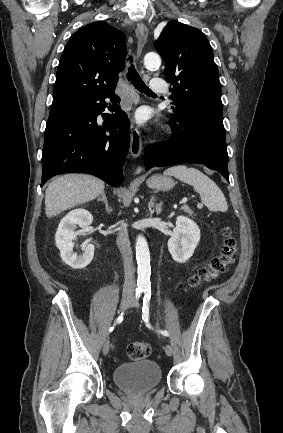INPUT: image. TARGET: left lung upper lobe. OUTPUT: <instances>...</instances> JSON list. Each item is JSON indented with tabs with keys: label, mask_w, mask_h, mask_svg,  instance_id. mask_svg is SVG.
Here are the masks:
<instances>
[{
	"label": "left lung upper lobe",
	"mask_w": 283,
	"mask_h": 433,
	"mask_svg": "<svg viewBox=\"0 0 283 433\" xmlns=\"http://www.w3.org/2000/svg\"><path fill=\"white\" fill-rule=\"evenodd\" d=\"M154 46L165 60L166 81L174 86L170 89L175 105L171 118L177 123L211 124L224 129L218 69L205 35L171 21Z\"/></svg>",
	"instance_id": "1"
}]
</instances>
